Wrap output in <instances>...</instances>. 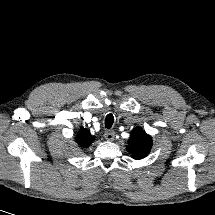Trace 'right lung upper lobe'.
I'll return each instance as SVG.
<instances>
[{"label":"right lung upper lobe","instance_id":"obj_1","mask_svg":"<svg viewBox=\"0 0 215 215\" xmlns=\"http://www.w3.org/2000/svg\"><path fill=\"white\" fill-rule=\"evenodd\" d=\"M76 141L82 147H88L94 141V136L90 134L89 130L85 128H80L76 136Z\"/></svg>","mask_w":215,"mask_h":215}]
</instances>
